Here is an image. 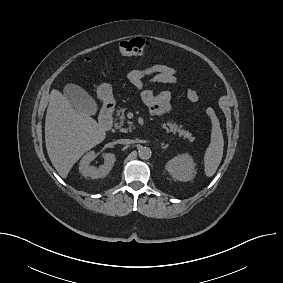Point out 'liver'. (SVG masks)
<instances>
[{
  "mask_svg": "<svg viewBox=\"0 0 283 283\" xmlns=\"http://www.w3.org/2000/svg\"><path fill=\"white\" fill-rule=\"evenodd\" d=\"M105 131L95 119L76 110L58 90L50 93L45 120V143L52 165L66 178L88 150L101 143Z\"/></svg>",
  "mask_w": 283,
  "mask_h": 283,
  "instance_id": "liver-1",
  "label": "liver"
}]
</instances>
